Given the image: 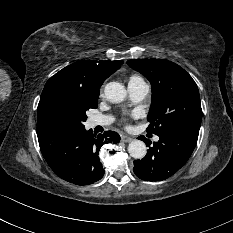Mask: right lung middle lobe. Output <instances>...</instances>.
<instances>
[{"instance_id": "right-lung-middle-lobe-1", "label": "right lung middle lobe", "mask_w": 233, "mask_h": 233, "mask_svg": "<svg viewBox=\"0 0 233 233\" xmlns=\"http://www.w3.org/2000/svg\"><path fill=\"white\" fill-rule=\"evenodd\" d=\"M99 93H85L63 81H48L37 109V128H82L86 111L97 108Z\"/></svg>"}]
</instances>
